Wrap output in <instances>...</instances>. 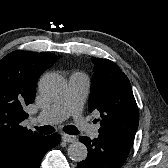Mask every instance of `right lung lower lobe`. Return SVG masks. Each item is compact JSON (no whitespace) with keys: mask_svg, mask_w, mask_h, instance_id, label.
Wrapping results in <instances>:
<instances>
[{"mask_svg":"<svg viewBox=\"0 0 168 168\" xmlns=\"http://www.w3.org/2000/svg\"><path fill=\"white\" fill-rule=\"evenodd\" d=\"M60 136L55 133L51 136H42L40 139L28 143L14 155L8 168H39L45 153L58 145Z\"/></svg>","mask_w":168,"mask_h":168,"instance_id":"right-lung-lower-lobe-1","label":"right lung lower lobe"}]
</instances>
